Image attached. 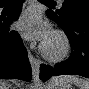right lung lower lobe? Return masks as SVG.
Listing matches in <instances>:
<instances>
[{"label":"right lung lower lobe","mask_w":89,"mask_h":89,"mask_svg":"<svg viewBox=\"0 0 89 89\" xmlns=\"http://www.w3.org/2000/svg\"><path fill=\"white\" fill-rule=\"evenodd\" d=\"M23 1L16 0L7 19L0 23V78L31 81V66L22 40L18 32L9 30L11 23L18 19ZM5 2L0 0V7Z\"/></svg>","instance_id":"1"}]
</instances>
